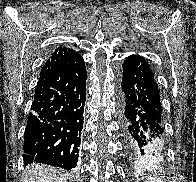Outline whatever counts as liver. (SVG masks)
Wrapping results in <instances>:
<instances>
[{"label":"liver","instance_id":"obj_1","mask_svg":"<svg viewBox=\"0 0 196 182\" xmlns=\"http://www.w3.org/2000/svg\"><path fill=\"white\" fill-rule=\"evenodd\" d=\"M23 182H66V175L59 168L33 164L26 168Z\"/></svg>","mask_w":196,"mask_h":182}]
</instances>
